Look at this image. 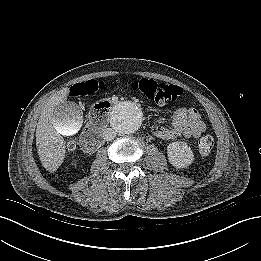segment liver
<instances>
[{
  "label": "liver",
  "instance_id": "obj_1",
  "mask_svg": "<svg viewBox=\"0 0 261 261\" xmlns=\"http://www.w3.org/2000/svg\"><path fill=\"white\" fill-rule=\"evenodd\" d=\"M69 88L64 87L50 96L44 103L36 129V145L43 167L55 172L63 163L65 157V141L62 135L74 134L81 127L83 114L77 105L76 117L73 120V129L65 132V127L56 119V107L66 102Z\"/></svg>",
  "mask_w": 261,
  "mask_h": 261
}]
</instances>
